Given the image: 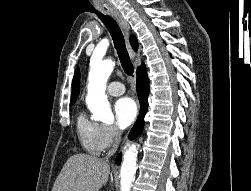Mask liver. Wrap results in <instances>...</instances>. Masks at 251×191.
Returning a JSON list of instances; mask_svg holds the SVG:
<instances>
[{"label": "liver", "mask_w": 251, "mask_h": 191, "mask_svg": "<svg viewBox=\"0 0 251 191\" xmlns=\"http://www.w3.org/2000/svg\"><path fill=\"white\" fill-rule=\"evenodd\" d=\"M110 165L101 157L76 153L68 157L52 191H98L108 181Z\"/></svg>", "instance_id": "1"}]
</instances>
